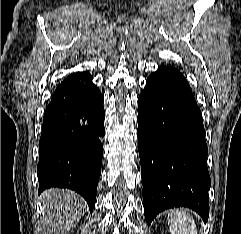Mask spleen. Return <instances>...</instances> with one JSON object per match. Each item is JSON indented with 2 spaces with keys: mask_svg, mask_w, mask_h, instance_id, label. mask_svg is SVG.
<instances>
[{
  "mask_svg": "<svg viewBox=\"0 0 241 234\" xmlns=\"http://www.w3.org/2000/svg\"><path fill=\"white\" fill-rule=\"evenodd\" d=\"M168 226L171 234H197L195 220L183 209L168 214Z\"/></svg>",
  "mask_w": 241,
  "mask_h": 234,
  "instance_id": "spleen-1",
  "label": "spleen"
}]
</instances>
